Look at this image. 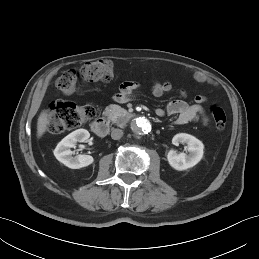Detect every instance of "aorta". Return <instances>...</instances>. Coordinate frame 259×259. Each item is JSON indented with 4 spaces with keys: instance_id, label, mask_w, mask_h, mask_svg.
Returning <instances> with one entry per match:
<instances>
[{
    "instance_id": "762f6f07",
    "label": "aorta",
    "mask_w": 259,
    "mask_h": 259,
    "mask_svg": "<svg viewBox=\"0 0 259 259\" xmlns=\"http://www.w3.org/2000/svg\"><path fill=\"white\" fill-rule=\"evenodd\" d=\"M132 130L138 135L147 134L151 131V124L144 117H139L133 121Z\"/></svg>"
}]
</instances>
